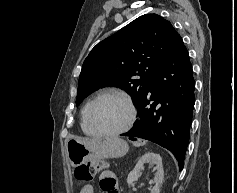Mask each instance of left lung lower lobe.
<instances>
[{
  "label": "left lung lower lobe",
  "mask_w": 237,
  "mask_h": 193,
  "mask_svg": "<svg viewBox=\"0 0 237 193\" xmlns=\"http://www.w3.org/2000/svg\"><path fill=\"white\" fill-rule=\"evenodd\" d=\"M194 88L189 54L181 41L141 100L135 126L122 136L146 139L170 150L182 170L195 103Z\"/></svg>",
  "instance_id": "0a47b994"
}]
</instances>
